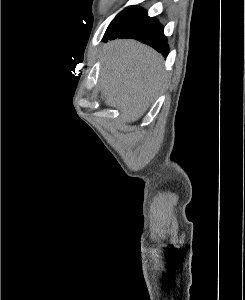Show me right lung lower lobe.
I'll return each instance as SVG.
<instances>
[{
	"label": "right lung lower lobe",
	"instance_id": "right-lung-lower-lobe-1",
	"mask_svg": "<svg viewBox=\"0 0 245 300\" xmlns=\"http://www.w3.org/2000/svg\"><path fill=\"white\" fill-rule=\"evenodd\" d=\"M116 38H134L142 43L152 46L165 56L168 54L169 47L163 32V27L154 17L146 16L125 31L105 37L104 41Z\"/></svg>",
	"mask_w": 245,
	"mask_h": 300
}]
</instances>
